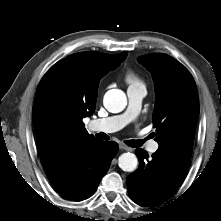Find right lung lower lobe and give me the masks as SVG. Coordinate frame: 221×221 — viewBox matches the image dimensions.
<instances>
[{
	"label": "right lung lower lobe",
	"instance_id": "98d812e1",
	"mask_svg": "<svg viewBox=\"0 0 221 221\" xmlns=\"http://www.w3.org/2000/svg\"><path fill=\"white\" fill-rule=\"evenodd\" d=\"M117 151L116 142L96 139L46 157L42 164L64 198L82 201L94 194Z\"/></svg>",
	"mask_w": 221,
	"mask_h": 221
}]
</instances>
